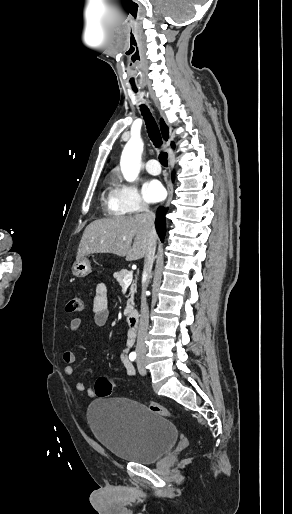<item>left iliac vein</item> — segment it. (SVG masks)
Masks as SVG:
<instances>
[{
  "label": "left iliac vein",
  "instance_id": "left-iliac-vein-1",
  "mask_svg": "<svg viewBox=\"0 0 292 514\" xmlns=\"http://www.w3.org/2000/svg\"><path fill=\"white\" fill-rule=\"evenodd\" d=\"M137 367H138V371H139V373L141 375H145L146 374V368H145L143 359L139 358L137 360Z\"/></svg>",
  "mask_w": 292,
  "mask_h": 514
}]
</instances>
